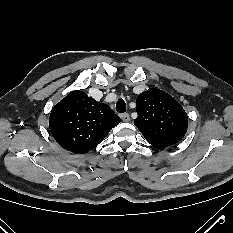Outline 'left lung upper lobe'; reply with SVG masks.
Wrapping results in <instances>:
<instances>
[{"mask_svg": "<svg viewBox=\"0 0 233 233\" xmlns=\"http://www.w3.org/2000/svg\"><path fill=\"white\" fill-rule=\"evenodd\" d=\"M136 104L134 124L156 149L174 145L186 134L187 114L168 93L150 88L138 95Z\"/></svg>", "mask_w": 233, "mask_h": 233, "instance_id": "5c2ea615", "label": "left lung upper lobe"}]
</instances>
